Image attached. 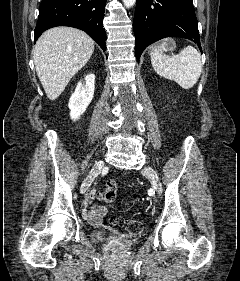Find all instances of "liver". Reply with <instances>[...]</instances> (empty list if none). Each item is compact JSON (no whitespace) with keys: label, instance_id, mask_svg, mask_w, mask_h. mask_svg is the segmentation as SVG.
<instances>
[{"label":"liver","instance_id":"obj_1","mask_svg":"<svg viewBox=\"0 0 240 281\" xmlns=\"http://www.w3.org/2000/svg\"><path fill=\"white\" fill-rule=\"evenodd\" d=\"M94 51V41L72 27L45 31L33 49L38 78L50 100L57 99L71 78L86 65Z\"/></svg>","mask_w":240,"mask_h":281}]
</instances>
